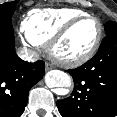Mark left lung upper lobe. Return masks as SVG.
<instances>
[{
    "label": "left lung upper lobe",
    "mask_w": 117,
    "mask_h": 117,
    "mask_svg": "<svg viewBox=\"0 0 117 117\" xmlns=\"http://www.w3.org/2000/svg\"><path fill=\"white\" fill-rule=\"evenodd\" d=\"M117 29V23L113 21H109L105 24V33L108 34L112 30Z\"/></svg>",
    "instance_id": "obj_1"
}]
</instances>
